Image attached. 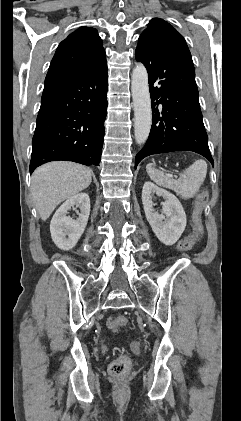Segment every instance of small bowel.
Returning <instances> with one entry per match:
<instances>
[{
	"mask_svg": "<svg viewBox=\"0 0 241 421\" xmlns=\"http://www.w3.org/2000/svg\"><path fill=\"white\" fill-rule=\"evenodd\" d=\"M107 324H108V327H109L110 329H114V328H113V325H112V320H111V318L108 320Z\"/></svg>",
	"mask_w": 241,
	"mask_h": 421,
	"instance_id": "small-bowel-1",
	"label": "small bowel"
}]
</instances>
